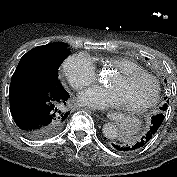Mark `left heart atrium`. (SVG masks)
I'll return each mask as SVG.
<instances>
[{
  "instance_id": "39dd6f15",
  "label": "left heart atrium",
  "mask_w": 177,
  "mask_h": 177,
  "mask_svg": "<svg viewBox=\"0 0 177 177\" xmlns=\"http://www.w3.org/2000/svg\"><path fill=\"white\" fill-rule=\"evenodd\" d=\"M79 100L94 108H109L122 105L118 92L111 87H90L79 95Z\"/></svg>"
}]
</instances>
